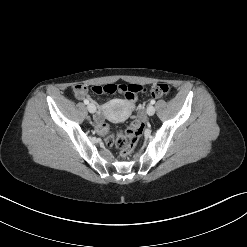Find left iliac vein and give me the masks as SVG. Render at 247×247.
<instances>
[{
    "label": "left iliac vein",
    "instance_id": "4c4485c4",
    "mask_svg": "<svg viewBox=\"0 0 247 247\" xmlns=\"http://www.w3.org/2000/svg\"><path fill=\"white\" fill-rule=\"evenodd\" d=\"M154 113H155V108H154V106H153V105H149V106L147 107V114H148L149 116H152V115H154Z\"/></svg>",
    "mask_w": 247,
    "mask_h": 247
}]
</instances>
